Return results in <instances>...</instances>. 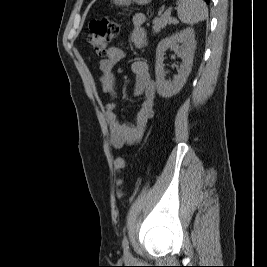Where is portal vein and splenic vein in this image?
I'll return each instance as SVG.
<instances>
[{
	"label": "portal vein and splenic vein",
	"mask_w": 267,
	"mask_h": 267,
	"mask_svg": "<svg viewBox=\"0 0 267 267\" xmlns=\"http://www.w3.org/2000/svg\"><path fill=\"white\" fill-rule=\"evenodd\" d=\"M165 15L170 16L171 15V9L166 10Z\"/></svg>",
	"instance_id": "18ae733b"
}]
</instances>
